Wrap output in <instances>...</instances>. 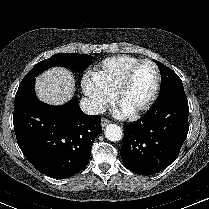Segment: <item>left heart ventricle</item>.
I'll use <instances>...</instances> for the list:
<instances>
[{
  "instance_id": "obj_1",
  "label": "left heart ventricle",
  "mask_w": 209,
  "mask_h": 209,
  "mask_svg": "<svg viewBox=\"0 0 209 209\" xmlns=\"http://www.w3.org/2000/svg\"><path fill=\"white\" fill-rule=\"evenodd\" d=\"M155 84V71L150 63L139 65L121 101L123 111L142 106L149 98Z\"/></svg>"
}]
</instances>
